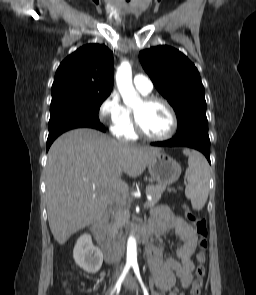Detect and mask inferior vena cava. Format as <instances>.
<instances>
[{
  "label": "inferior vena cava",
  "instance_id": "1",
  "mask_svg": "<svg viewBox=\"0 0 256 295\" xmlns=\"http://www.w3.org/2000/svg\"><path fill=\"white\" fill-rule=\"evenodd\" d=\"M114 252L117 256V261H118L120 259V255H121V248H120L119 242H115Z\"/></svg>",
  "mask_w": 256,
  "mask_h": 295
}]
</instances>
